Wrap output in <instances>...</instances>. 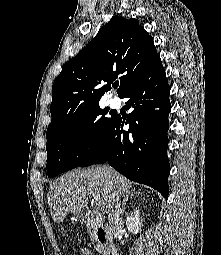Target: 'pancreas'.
Instances as JSON below:
<instances>
[{
	"mask_svg": "<svg viewBox=\"0 0 221 255\" xmlns=\"http://www.w3.org/2000/svg\"><path fill=\"white\" fill-rule=\"evenodd\" d=\"M97 225H99V222H98V221H93V222L90 223L89 229L92 230L91 233H93V229H94ZM91 238H92V240L95 239L93 234L91 235ZM98 248H99V250H101V247H100V246H98Z\"/></svg>",
	"mask_w": 221,
	"mask_h": 255,
	"instance_id": "obj_1",
	"label": "pancreas"
}]
</instances>
